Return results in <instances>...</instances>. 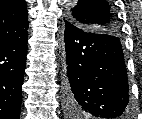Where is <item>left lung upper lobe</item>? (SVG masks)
Instances as JSON below:
<instances>
[{
  "instance_id": "5c2ea615",
  "label": "left lung upper lobe",
  "mask_w": 142,
  "mask_h": 119,
  "mask_svg": "<svg viewBox=\"0 0 142 119\" xmlns=\"http://www.w3.org/2000/svg\"><path fill=\"white\" fill-rule=\"evenodd\" d=\"M76 26L94 33L117 35L116 16L106 0H78L67 16Z\"/></svg>"
}]
</instances>
